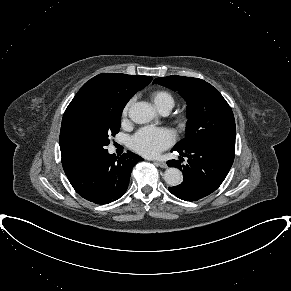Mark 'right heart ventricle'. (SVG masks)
Wrapping results in <instances>:
<instances>
[{"instance_id":"1","label":"right heart ventricle","mask_w":291,"mask_h":291,"mask_svg":"<svg viewBox=\"0 0 291 291\" xmlns=\"http://www.w3.org/2000/svg\"><path fill=\"white\" fill-rule=\"evenodd\" d=\"M151 99L159 111H170L175 104L173 95L166 90H156L152 92Z\"/></svg>"}]
</instances>
